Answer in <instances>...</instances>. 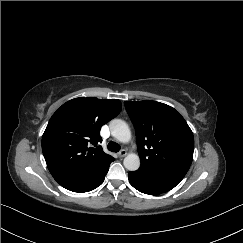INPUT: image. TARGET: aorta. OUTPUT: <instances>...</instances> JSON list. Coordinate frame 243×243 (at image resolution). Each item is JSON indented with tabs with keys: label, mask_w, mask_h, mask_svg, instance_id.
<instances>
[{
	"label": "aorta",
	"mask_w": 243,
	"mask_h": 243,
	"mask_svg": "<svg viewBox=\"0 0 243 243\" xmlns=\"http://www.w3.org/2000/svg\"><path fill=\"white\" fill-rule=\"evenodd\" d=\"M111 134L114 138L122 143L131 140V131L128 124L121 119H113L110 122ZM124 167L129 171H136L140 167V158L137 154H128L123 161Z\"/></svg>",
	"instance_id": "aorta-1"
}]
</instances>
